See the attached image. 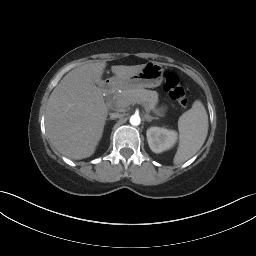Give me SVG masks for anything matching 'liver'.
Returning a JSON list of instances; mask_svg holds the SVG:
<instances>
[{
  "label": "liver",
  "instance_id": "1",
  "mask_svg": "<svg viewBox=\"0 0 256 256\" xmlns=\"http://www.w3.org/2000/svg\"><path fill=\"white\" fill-rule=\"evenodd\" d=\"M145 64L112 66L120 79L137 74ZM106 62H88L66 74L51 93L45 126L51 144L62 155L80 160L94 154L100 141L108 108L100 89Z\"/></svg>",
  "mask_w": 256,
  "mask_h": 256
}]
</instances>
